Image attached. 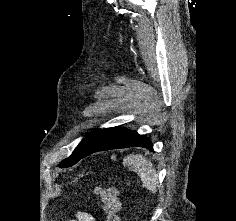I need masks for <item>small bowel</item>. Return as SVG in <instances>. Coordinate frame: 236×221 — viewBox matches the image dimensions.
<instances>
[{"mask_svg": "<svg viewBox=\"0 0 236 221\" xmlns=\"http://www.w3.org/2000/svg\"><path fill=\"white\" fill-rule=\"evenodd\" d=\"M70 221H95L93 216L87 212H77L76 214V220H70Z\"/></svg>", "mask_w": 236, "mask_h": 221, "instance_id": "1", "label": "small bowel"}]
</instances>
